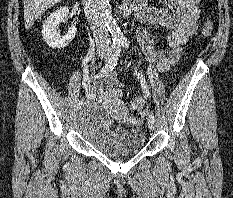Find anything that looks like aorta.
<instances>
[{"mask_svg":"<svg viewBox=\"0 0 233 198\" xmlns=\"http://www.w3.org/2000/svg\"><path fill=\"white\" fill-rule=\"evenodd\" d=\"M103 3V16L105 22L108 26V29L112 35L114 42H120L125 40L123 33L120 30L115 18L112 15V9L109 3V0H102Z\"/></svg>","mask_w":233,"mask_h":198,"instance_id":"obj_1","label":"aorta"}]
</instances>
